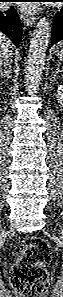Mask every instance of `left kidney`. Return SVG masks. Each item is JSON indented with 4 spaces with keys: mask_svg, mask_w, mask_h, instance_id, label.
<instances>
[{
    "mask_svg": "<svg viewBox=\"0 0 63 297\" xmlns=\"http://www.w3.org/2000/svg\"><path fill=\"white\" fill-rule=\"evenodd\" d=\"M56 98L58 103L60 104L63 103V86L62 85L58 86Z\"/></svg>",
    "mask_w": 63,
    "mask_h": 297,
    "instance_id": "left-kidney-1",
    "label": "left kidney"
}]
</instances>
